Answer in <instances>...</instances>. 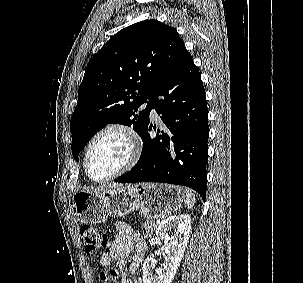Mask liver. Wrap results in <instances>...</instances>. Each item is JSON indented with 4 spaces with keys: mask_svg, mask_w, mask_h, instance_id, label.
Instances as JSON below:
<instances>
[{
    "mask_svg": "<svg viewBox=\"0 0 303 283\" xmlns=\"http://www.w3.org/2000/svg\"><path fill=\"white\" fill-rule=\"evenodd\" d=\"M118 186H122L121 184H116V183H113V184H105V185H102L98 188H92L90 190H87L89 192H94V193H100V192H103L109 188H113V187H118Z\"/></svg>",
    "mask_w": 303,
    "mask_h": 283,
    "instance_id": "obj_1",
    "label": "liver"
}]
</instances>
